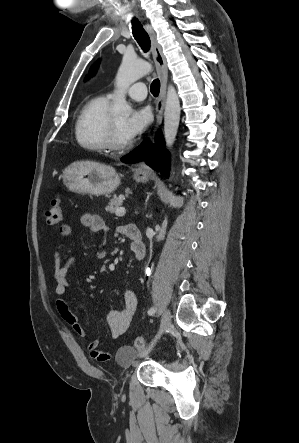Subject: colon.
I'll return each mask as SVG.
<instances>
[{"mask_svg": "<svg viewBox=\"0 0 299 443\" xmlns=\"http://www.w3.org/2000/svg\"><path fill=\"white\" fill-rule=\"evenodd\" d=\"M46 222L49 226H56L60 223L62 219L61 211V199L59 195H56L50 201L46 211H45ZM134 347L138 351H144L146 349V342L142 338H136L133 342ZM131 354V350L126 348L119 353V359L124 361Z\"/></svg>", "mask_w": 299, "mask_h": 443, "instance_id": "1", "label": "colon"}]
</instances>
